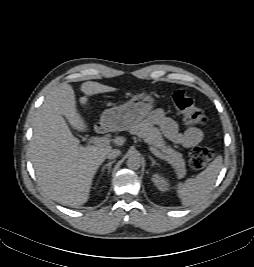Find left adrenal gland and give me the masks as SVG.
Masks as SVG:
<instances>
[{
    "mask_svg": "<svg viewBox=\"0 0 254 267\" xmlns=\"http://www.w3.org/2000/svg\"><path fill=\"white\" fill-rule=\"evenodd\" d=\"M149 158L151 160V166L158 165V163L154 160L152 156H149Z\"/></svg>",
    "mask_w": 254,
    "mask_h": 267,
    "instance_id": "a2214340",
    "label": "left adrenal gland"
}]
</instances>
